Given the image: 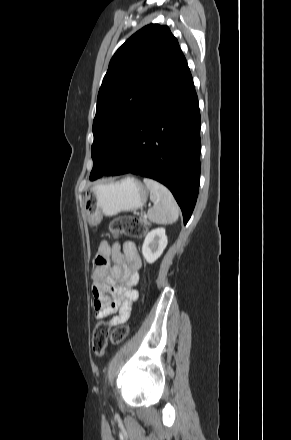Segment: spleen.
Segmentation results:
<instances>
[{"instance_id":"1","label":"spleen","mask_w":291,"mask_h":440,"mask_svg":"<svg viewBox=\"0 0 291 440\" xmlns=\"http://www.w3.org/2000/svg\"><path fill=\"white\" fill-rule=\"evenodd\" d=\"M143 181L150 191V200L154 204L147 213L149 220L163 224L175 222L179 216V207L169 189L150 178H144Z\"/></svg>"}]
</instances>
